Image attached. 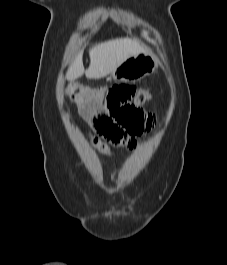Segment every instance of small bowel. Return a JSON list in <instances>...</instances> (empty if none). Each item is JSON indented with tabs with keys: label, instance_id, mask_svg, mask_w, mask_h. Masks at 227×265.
Masks as SVG:
<instances>
[{
	"label": "small bowel",
	"instance_id": "small-bowel-1",
	"mask_svg": "<svg viewBox=\"0 0 227 265\" xmlns=\"http://www.w3.org/2000/svg\"><path fill=\"white\" fill-rule=\"evenodd\" d=\"M78 110L90 126L91 142L100 153L111 156L115 147L134 150L139 145L137 135H130L107 115L103 102H79Z\"/></svg>",
	"mask_w": 227,
	"mask_h": 265
}]
</instances>
